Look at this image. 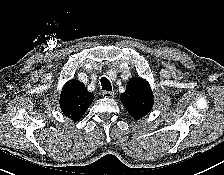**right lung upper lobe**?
I'll list each match as a JSON object with an SVG mask.
<instances>
[{"label": "right lung upper lobe", "mask_w": 224, "mask_h": 175, "mask_svg": "<svg viewBox=\"0 0 224 175\" xmlns=\"http://www.w3.org/2000/svg\"><path fill=\"white\" fill-rule=\"evenodd\" d=\"M94 99V95L86 90L84 85L76 80L68 81L61 93L60 107L62 112L73 121L82 118Z\"/></svg>", "instance_id": "cb5924a9"}]
</instances>
